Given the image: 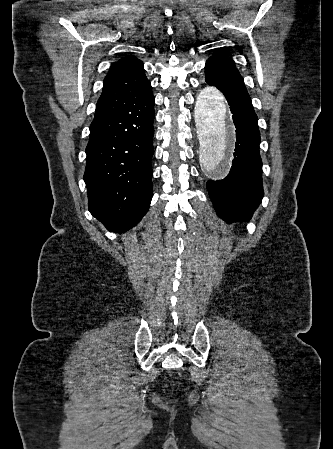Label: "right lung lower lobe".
<instances>
[{
  "mask_svg": "<svg viewBox=\"0 0 333 449\" xmlns=\"http://www.w3.org/2000/svg\"><path fill=\"white\" fill-rule=\"evenodd\" d=\"M153 120L150 87L91 123L84 174L89 211L110 232L133 228L149 208Z\"/></svg>",
  "mask_w": 333,
  "mask_h": 449,
  "instance_id": "98d812e1",
  "label": "right lung lower lobe"
}]
</instances>
